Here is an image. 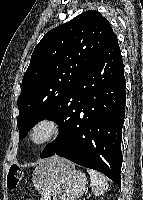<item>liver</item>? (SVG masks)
<instances>
[{"instance_id": "obj_1", "label": "liver", "mask_w": 143, "mask_h": 200, "mask_svg": "<svg viewBox=\"0 0 143 200\" xmlns=\"http://www.w3.org/2000/svg\"><path fill=\"white\" fill-rule=\"evenodd\" d=\"M65 166H73V164L68 160L58 156H53L41 161L40 164L35 168L32 175V181L35 189L42 194L50 177Z\"/></svg>"}]
</instances>
